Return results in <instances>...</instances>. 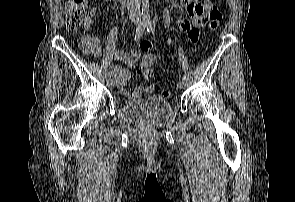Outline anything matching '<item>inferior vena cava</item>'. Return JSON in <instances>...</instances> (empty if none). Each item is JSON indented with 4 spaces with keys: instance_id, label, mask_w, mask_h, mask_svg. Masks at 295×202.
Here are the masks:
<instances>
[{
    "instance_id": "1",
    "label": "inferior vena cava",
    "mask_w": 295,
    "mask_h": 202,
    "mask_svg": "<svg viewBox=\"0 0 295 202\" xmlns=\"http://www.w3.org/2000/svg\"><path fill=\"white\" fill-rule=\"evenodd\" d=\"M137 2L138 0H127L128 14L131 20L140 19L141 17L140 8Z\"/></svg>"
}]
</instances>
